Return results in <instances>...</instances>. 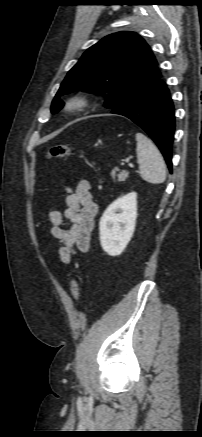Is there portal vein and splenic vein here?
Here are the masks:
<instances>
[{"label":"portal vein and splenic vein","instance_id":"1","mask_svg":"<svg viewBox=\"0 0 202 437\" xmlns=\"http://www.w3.org/2000/svg\"><path fill=\"white\" fill-rule=\"evenodd\" d=\"M129 166H130V167H133V165H132V164H129Z\"/></svg>","mask_w":202,"mask_h":437}]
</instances>
